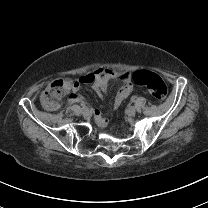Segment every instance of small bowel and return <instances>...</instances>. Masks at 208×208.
Masks as SVG:
<instances>
[{"instance_id": "small-bowel-1", "label": "small bowel", "mask_w": 208, "mask_h": 208, "mask_svg": "<svg viewBox=\"0 0 208 208\" xmlns=\"http://www.w3.org/2000/svg\"><path fill=\"white\" fill-rule=\"evenodd\" d=\"M93 76L95 78H93ZM109 78H115L124 83V85L117 92L115 99L113 101V107L117 108L130 95L132 91V87L129 84L128 77L124 73H117L109 69H106L104 67H99L94 72L88 73L74 82L68 81L67 84L70 88L73 89H77L81 84H92L94 90L98 94H102L107 90V80ZM61 96L62 93L58 96H52L51 94H48L47 96L44 97V93H43L42 103L44 108L50 112L56 111ZM69 99L71 104L82 102V99L77 97L76 95H70ZM92 115L94 117V121L96 125L99 128L105 129L108 127L109 122L107 119L104 118L103 109L101 107H96L93 110Z\"/></svg>"}]
</instances>
